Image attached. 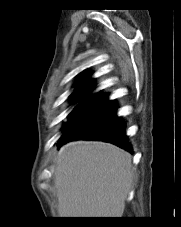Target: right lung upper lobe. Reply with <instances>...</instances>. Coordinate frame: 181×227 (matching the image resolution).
<instances>
[{"instance_id": "obj_1", "label": "right lung upper lobe", "mask_w": 181, "mask_h": 227, "mask_svg": "<svg viewBox=\"0 0 181 227\" xmlns=\"http://www.w3.org/2000/svg\"><path fill=\"white\" fill-rule=\"evenodd\" d=\"M75 85L76 87L71 96L84 95L93 90V79L90 78V74H86L82 76Z\"/></svg>"}]
</instances>
